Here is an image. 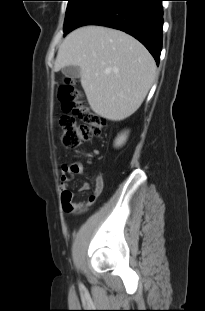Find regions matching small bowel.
<instances>
[{"label":"small bowel","mask_w":205,"mask_h":311,"mask_svg":"<svg viewBox=\"0 0 205 311\" xmlns=\"http://www.w3.org/2000/svg\"><path fill=\"white\" fill-rule=\"evenodd\" d=\"M84 165L75 161L70 164H62L60 168V192H61V202L62 208L66 213L70 214H82L86 212L89 206L95 202V200L101 194L104 187V179L101 174H96L94 178V189L86 196L82 201H74L76 194L71 191L68 186L70 182L77 176L84 173ZM90 189V184L88 182H83L80 186V191L85 192Z\"/></svg>","instance_id":"small-bowel-1"}]
</instances>
